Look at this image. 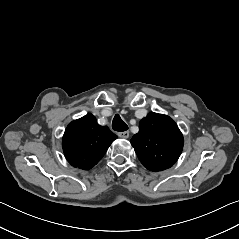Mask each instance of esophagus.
I'll return each mask as SVG.
<instances>
[{
	"mask_svg": "<svg viewBox=\"0 0 239 239\" xmlns=\"http://www.w3.org/2000/svg\"><path fill=\"white\" fill-rule=\"evenodd\" d=\"M118 136L121 138H128L129 137V131L119 132Z\"/></svg>",
	"mask_w": 239,
	"mask_h": 239,
	"instance_id": "34e87169",
	"label": "esophagus"
}]
</instances>
